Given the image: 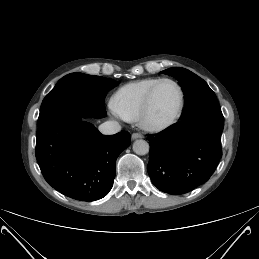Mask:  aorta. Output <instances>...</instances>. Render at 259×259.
I'll list each match as a JSON object with an SVG mask.
<instances>
[{"mask_svg":"<svg viewBox=\"0 0 259 259\" xmlns=\"http://www.w3.org/2000/svg\"><path fill=\"white\" fill-rule=\"evenodd\" d=\"M133 151L137 155H146L149 152V143L145 140H136L133 143Z\"/></svg>","mask_w":259,"mask_h":259,"instance_id":"762f6f07","label":"aorta"}]
</instances>
